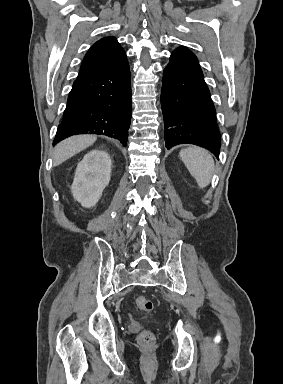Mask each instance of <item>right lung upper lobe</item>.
Masks as SVG:
<instances>
[{
  "mask_svg": "<svg viewBox=\"0 0 283 384\" xmlns=\"http://www.w3.org/2000/svg\"><path fill=\"white\" fill-rule=\"evenodd\" d=\"M127 62L126 54L115 37L97 41L85 55L78 77H84L122 66Z\"/></svg>",
  "mask_w": 283,
  "mask_h": 384,
  "instance_id": "cb5924a9",
  "label": "right lung upper lobe"
}]
</instances>
